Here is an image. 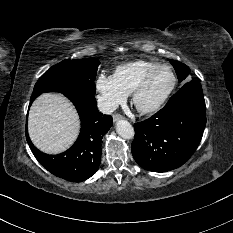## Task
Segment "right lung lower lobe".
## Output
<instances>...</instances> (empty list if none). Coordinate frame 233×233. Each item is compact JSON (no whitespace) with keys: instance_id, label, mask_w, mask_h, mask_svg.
Returning a JSON list of instances; mask_svg holds the SVG:
<instances>
[{"instance_id":"obj_1","label":"right lung lower lobe","mask_w":233,"mask_h":233,"mask_svg":"<svg viewBox=\"0 0 233 233\" xmlns=\"http://www.w3.org/2000/svg\"><path fill=\"white\" fill-rule=\"evenodd\" d=\"M66 96L75 105L82 124L79 138L73 146L64 153L47 155L32 144L27 129L26 138L35 158L46 170L65 180L81 182L96 173L101 162V140L113 121L111 116L98 111L94 95L69 93Z\"/></svg>"}]
</instances>
